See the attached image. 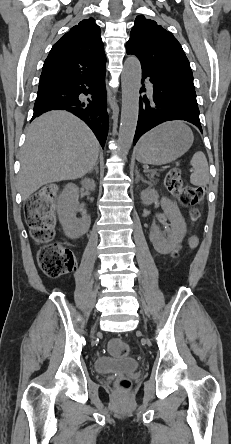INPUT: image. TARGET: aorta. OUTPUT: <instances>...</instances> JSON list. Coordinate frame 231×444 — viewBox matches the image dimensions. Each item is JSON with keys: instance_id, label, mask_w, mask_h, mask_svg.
I'll list each match as a JSON object with an SVG mask.
<instances>
[{"instance_id": "obj_1", "label": "aorta", "mask_w": 231, "mask_h": 444, "mask_svg": "<svg viewBox=\"0 0 231 444\" xmlns=\"http://www.w3.org/2000/svg\"><path fill=\"white\" fill-rule=\"evenodd\" d=\"M141 77L139 60L135 56H129L124 62L122 74V110L118 137L119 152L123 157L131 148L136 131Z\"/></svg>"}]
</instances>
